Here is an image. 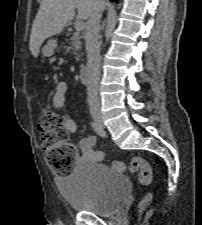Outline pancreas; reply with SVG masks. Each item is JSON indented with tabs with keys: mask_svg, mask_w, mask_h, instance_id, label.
Returning a JSON list of instances; mask_svg holds the SVG:
<instances>
[{
	"mask_svg": "<svg viewBox=\"0 0 202 225\" xmlns=\"http://www.w3.org/2000/svg\"><path fill=\"white\" fill-rule=\"evenodd\" d=\"M81 49V36L79 33H74V35L70 38V46L66 47V51H72L73 54L75 55L76 61H79L80 55L78 52Z\"/></svg>",
	"mask_w": 202,
	"mask_h": 225,
	"instance_id": "pancreas-1",
	"label": "pancreas"
}]
</instances>
